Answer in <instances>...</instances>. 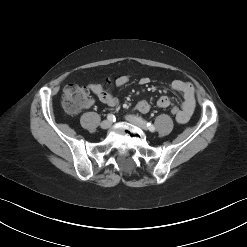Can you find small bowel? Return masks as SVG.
<instances>
[{
    "label": "small bowel",
    "instance_id": "c3829d8e",
    "mask_svg": "<svg viewBox=\"0 0 247 247\" xmlns=\"http://www.w3.org/2000/svg\"><path fill=\"white\" fill-rule=\"evenodd\" d=\"M129 79L127 76H120L117 79V85L123 86L128 83ZM140 84L146 85L150 82L148 77H143L140 79ZM171 88L182 95V104L180 108V113L176 118L177 122L180 124H185L190 119L193 111L195 109V90L190 82L183 80H174L171 83ZM88 89L97 97V99L103 104L114 107L117 104L116 97L106 88L102 87L97 83H90ZM93 99H88L86 106L92 105ZM171 105V100L167 96H162L157 100V107L167 108ZM135 109L141 113H148L151 109V105L146 100H139L136 103Z\"/></svg>",
    "mask_w": 247,
    "mask_h": 247
}]
</instances>
